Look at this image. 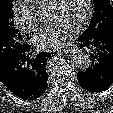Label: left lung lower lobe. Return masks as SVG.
I'll list each match as a JSON object with an SVG mask.
<instances>
[{
  "label": "left lung lower lobe",
  "mask_w": 113,
  "mask_h": 113,
  "mask_svg": "<svg viewBox=\"0 0 113 113\" xmlns=\"http://www.w3.org/2000/svg\"><path fill=\"white\" fill-rule=\"evenodd\" d=\"M79 40L91 60L86 71L77 73L79 84L92 93L106 90L113 83V32L83 33Z\"/></svg>",
  "instance_id": "0a47b994"
}]
</instances>
